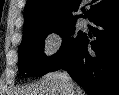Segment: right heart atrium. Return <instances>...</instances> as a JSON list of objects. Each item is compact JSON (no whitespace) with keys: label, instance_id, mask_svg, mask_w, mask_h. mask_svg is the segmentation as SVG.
I'll list each match as a JSON object with an SVG mask.
<instances>
[{"label":"right heart atrium","instance_id":"d8ad5b80","mask_svg":"<svg viewBox=\"0 0 119 95\" xmlns=\"http://www.w3.org/2000/svg\"><path fill=\"white\" fill-rule=\"evenodd\" d=\"M62 44V36L58 32H50L43 44V52L46 56H53L59 50Z\"/></svg>","mask_w":119,"mask_h":95}]
</instances>
